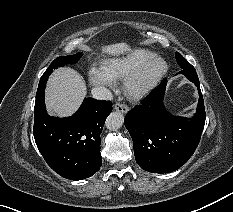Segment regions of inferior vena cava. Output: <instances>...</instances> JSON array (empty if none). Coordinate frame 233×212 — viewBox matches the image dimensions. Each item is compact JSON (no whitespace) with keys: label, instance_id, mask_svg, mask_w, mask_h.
Returning <instances> with one entry per match:
<instances>
[{"label":"inferior vena cava","instance_id":"inferior-vena-cava-1","mask_svg":"<svg viewBox=\"0 0 233 212\" xmlns=\"http://www.w3.org/2000/svg\"><path fill=\"white\" fill-rule=\"evenodd\" d=\"M93 98L97 100H112L113 95L110 90L104 86H96L91 90Z\"/></svg>","mask_w":233,"mask_h":212}]
</instances>
